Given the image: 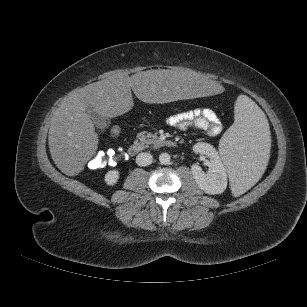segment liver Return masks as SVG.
I'll return each mask as SVG.
<instances>
[{
    "label": "liver",
    "instance_id": "liver-1",
    "mask_svg": "<svg viewBox=\"0 0 307 307\" xmlns=\"http://www.w3.org/2000/svg\"><path fill=\"white\" fill-rule=\"evenodd\" d=\"M224 85L208 81L191 69L148 70L128 76L118 73L71 91L55 111L48 134L51 157L58 169L68 175L80 173L96 153L98 136L87 113L93 107L105 118L120 116L133 107L132 93L150 104L222 94Z\"/></svg>",
    "mask_w": 307,
    "mask_h": 307
}]
</instances>
